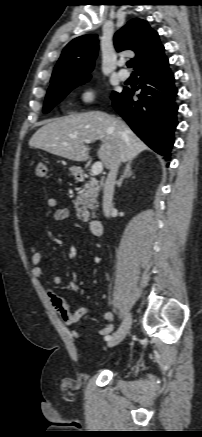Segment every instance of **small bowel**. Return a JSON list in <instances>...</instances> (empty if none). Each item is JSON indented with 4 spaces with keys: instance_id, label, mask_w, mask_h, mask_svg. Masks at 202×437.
<instances>
[{
    "instance_id": "small-bowel-1",
    "label": "small bowel",
    "mask_w": 202,
    "mask_h": 437,
    "mask_svg": "<svg viewBox=\"0 0 202 437\" xmlns=\"http://www.w3.org/2000/svg\"><path fill=\"white\" fill-rule=\"evenodd\" d=\"M57 203V199L53 197H50L46 200V205L49 208H56ZM53 216L56 221H62L69 218L71 216V212L68 208H57ZM43 258L44 255L41 252L34 247L31 248L32 275L35 278H41L44 275L42 268ZM53 283L55 286L61 285L62 277L60 275H55L53 278ZM47 297L54 311L60 316L65 325L68 327L76 326L83 317H87L91 313V310L88 307H81L77 310H71L65 300L52 289L47 290ZM103 319L106 324L99 330V334L106 337L113 329L114 316L111 312H106L103 315ZM71 335L74 338H78L80 336V331L74 329L71 331Z\"/></svg>"
}]
</instances>
